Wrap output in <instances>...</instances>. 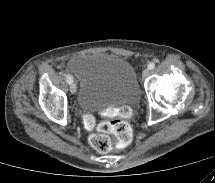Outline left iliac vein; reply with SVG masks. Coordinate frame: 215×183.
<instances>
[{"label": "left iliac vein", "instance_id": "obj_1", "mask_svg": "<svg viewBox=\"0 0 215 183\" xmlns=\"http://www.w3.org/2000/svg\"><path fill=\"white\" fill-rule=\"evenodd\" d=\"M149 74H150L149 69H145V70L143 71V73H142V77L145 79V78H147V77L149 76Z\"/></svg>", "mask_w": 215, "mask_h": 183}]
</instances>
